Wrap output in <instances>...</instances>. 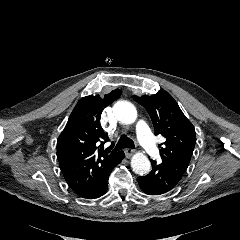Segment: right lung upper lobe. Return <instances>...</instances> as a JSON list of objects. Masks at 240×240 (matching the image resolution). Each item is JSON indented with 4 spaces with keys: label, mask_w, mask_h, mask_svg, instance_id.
<instances>
[{
    "label": "right lung upper lobe",
    "mask_w": 240,
    "mask_h": 240,
    "mask_svg": "<svg viewBox=\"0 0 240 240\" xmlns=\"http://www.w3.org/2000/svg\"><path fill=\"white\" fill-rule=\"evenodd\" d=\"M121 93V90H113L103 98L90 95L80 99L57 140L60 169L78 195L91 189L122 153H109L100 148L109 141L100 125L102 111Z\"/></svg>",
    "instance_id": "obj_1"
}]
</instances>
